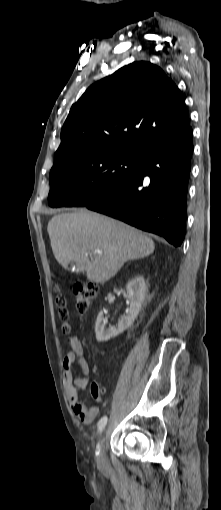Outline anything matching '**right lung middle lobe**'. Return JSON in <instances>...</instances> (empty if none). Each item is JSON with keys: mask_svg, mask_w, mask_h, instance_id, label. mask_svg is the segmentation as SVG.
<instances>
[{"mask_svg": "<svg viewBox=\"0 0 221 510\" xmlns=\"http://www.w3.org/2000/svg\"><path fill=\"white\" fill-rule=\"evenodd\" d=\"M141 158V148L115 146L70 155L51 169L49 206H85L113 192L136 174Z\"/></svg>", "mask_w": 221, "mask_h": 510, "instance_id": "obj_1", "label": "right lung middle lobe"}]
</instances>
